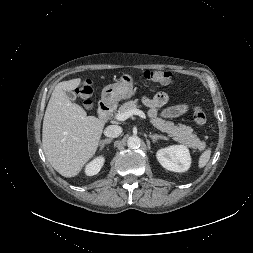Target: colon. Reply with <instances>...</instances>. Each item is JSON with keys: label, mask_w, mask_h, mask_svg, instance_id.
Returning <instances> with one entry per match:
<instances>
[{"label": "colon", "mask_w": 253, "mask_h": 253, "mask_svg": "<svg viewBox=\"0 0 253 253\" xmlns=\"http://www.w3.org/2000/svg\"><path fill=\"white\" fill-rule=\"evenodd\" d=\"M140 76L147 81L160 84H169L173 78L171 72L161 70H146L142 72ZM76 93L84 101V104L86 106L91 105L90 96L92 93V87L91 82L89 80L81 82L76 89ZM192 116L194 122L199 126H203L207 122L206 114L201 106L196 105L193 107Z\"/></svg>", "instance_id": "obj_1"}]
</instances>
